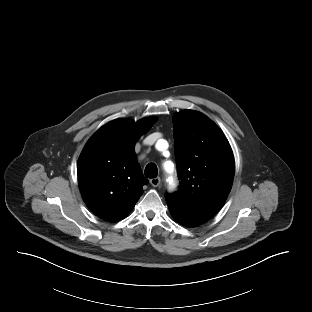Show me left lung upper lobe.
Segmentation results:
<instances>
[{"instance_id":"obj_1","label":"left lung upper lobe","mask_w":312,"mask_h":312,"mask_svg":"<svg viewBox=\"0 0 312 312\" xmlns=\"http://www.w3.org/2000/svg\"><path fill=\"white\" fill-rule=\"evenodd\" d=\"M179 190L166 195L173 217L205 223L223 206L233 183L234 156L221 129L198 111L173 116Z\"/></svg>"}]
</instances>
